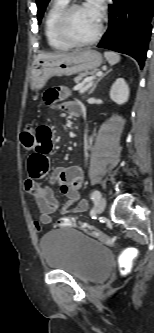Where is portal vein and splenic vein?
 <instances>
[{"label": "portal vein and splenic vein", "mask_w": 154, "mask_h": 333, "mask_svg": "<svg viewBox=\"0 0 154 333\" xmlns=\"http://www.w3.org/2000/svg\"><path fill=\"white\" fill-rule=\"evenodd\" d=\"M102 74H103L102 71H99V72L96 73V76H101ZM94 78H95V77L93 76V77H90V78L85 79L84 82H88V85H87V86H84L83 84H79V85H77V86L74 87V90H77V91H79L80 93H83L87 88L90 87L91 82H92V80H93Z\"/></svg>", "instance_id": "portal-vein-and-splenic-vein-1"}]
</instances>
